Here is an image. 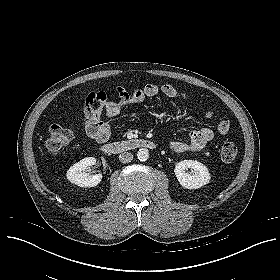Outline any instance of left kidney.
<instances>
[{
  "label": "left kidney",
  "mask_w": 280,
  "mask_h": 280,
  "mask_svg": "<svg viewBox=\"0 0 280 280\" xmlns=\"http://www.w3.org/2000/svg\"><path fill=\"white\" fill-rule=\"evenodd\" d=\"M191 169V172L186 170ZM175 175L180 185L186 189H198L208 184L211 179L208 168L201 162L183 160L175 165Z\"/></svg>",
  "instance_id": "left-kidney-1"
}]
</instances>
